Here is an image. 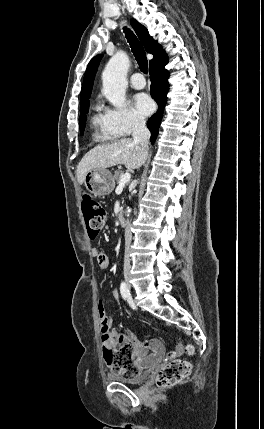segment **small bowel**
<instances>
[{"label":"small bowel","mask_w":264,"mask_h":429,"mask_svg":"<svg viewBox=\"0 0 264 429\" xmlns=\"http://www.w3.org/2000/svg\"><path fill=\"white\" fill-rule=\"evenodd\" d=\"M92 255L97 259L100 268L106 269L109 266V257L100 252L97 248L92 249ZM115 299H119L118 291L113 292ZM104 306L102 302L99 303ZM112 324V319L108 318V326ZM129 341L133 345L135 358L141 369L150 368L159 363L166 357L163 344L159 340H150L148 342H140L134 336H130ZM181 353V348L168 354L167 357H174Z\"/></svg>","instance_id":"small-bowel-1"}]
</instances>
